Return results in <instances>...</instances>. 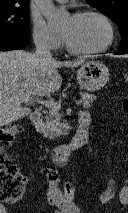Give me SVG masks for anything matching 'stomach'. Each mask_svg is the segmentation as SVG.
<instances>
[{
    "label": "stomach",
    "instance_id": "obj_1",
    "mask_svg": "<svg viewBox=\"0 0 128 213\" xmlns=\"http://www.w3.org/2000/svg\"><path fill=\"white\" fill-rule=\"evenodd\" d=\"M110 76L106 65L99 61H89L77 71L79 85L87 91H97L108 81Z\"/></svg>",
    "mask_w": 128,
    "mask_h": 213
}]
</instances>
